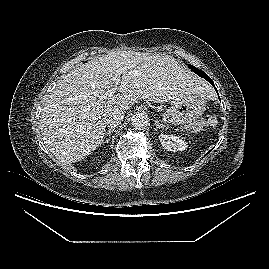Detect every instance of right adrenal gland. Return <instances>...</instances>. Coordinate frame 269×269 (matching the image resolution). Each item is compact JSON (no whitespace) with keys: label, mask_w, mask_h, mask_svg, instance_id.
Wrapping results in <instances>:
<instances>
[{"label":"right adrenal gland","mask_w":269,"mask_h":269,"mask_svg":"<svg viewBox=\"0 0 269 269\" xmlns=\"http://www.w3.org/2000/svg\"><path fill=\"white\" fill-rule=\"evenodd\" d=\"M114 129H115V128H110L109 130H107V131L105 132L104 139H105L107 136H109L107 142L109 141L110 136H111V133L114 131Z\"/></svg>","instance_id":"1"}]
</instances>
